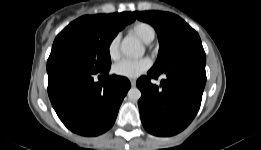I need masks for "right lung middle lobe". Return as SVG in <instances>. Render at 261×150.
Here are the masks:
<instances>
[{"label":"right lung middle lobe","mask_w":261,"mask_h":150,"mask_svg":"<svg viewBox=\"0 0 261 150\" xmlns=\"http://www.w3.org/2000/svg\"><path fill=\"white\" fill-rule=\"evenodd\" d=\"M127 21L83 16L56 37L47 61V73L78 70L99 73L110 69L109 46Z\"/></svg>","instance_id":"obj_1"}]
</instances>
